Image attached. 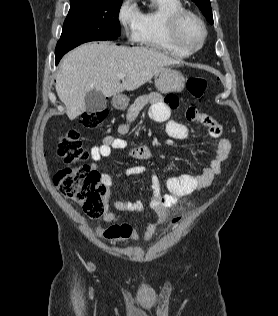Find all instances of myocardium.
<instances>
[{
  "label": "myocardium",
  "instance_id": "1",
  "mask_svg": "<svg viewBox=\"0 0 278 316\" xmlns=\"http://www.w3.org/2000/svg\"><path fill=\"white\" fill-rule=\"evenodd\" d=\"M188 20L197 23L201 29V38L197 43L190 42L186 36L185 25ZM170 28L176 42L191 53L202 48L208 36L207 27L203 19L195 12L185 8L175 12L171 16Z\"/></svg>",
  "mask_w": 278,
  "mask_h": 316
}]
</instances>
